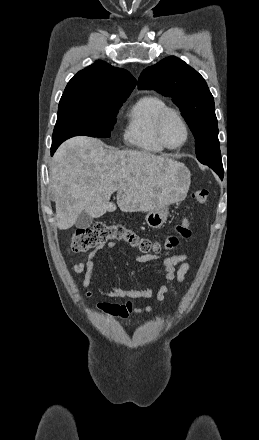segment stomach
Masks as SVG:
<instances>
[{
    "instance_id": "0dacf381",
    "label": "stomach",
    "mask_w": 259,
    "mask_h": 440,
    "mask_svg": "<svg viewBox=\"0 0 259 440\" xmlns=\"http://www.w3.org/2000/svg\"><path fill=\"white\" fill-rule=\"evenodd\" d=\"M184 174L186 175L182 180V186L184 188H187L189 185V177H187L186 172H184ZM168 215L169 209L167 206L156 208L147 212V214L145 215V221L149 227L153 229H159L166 223Z\"/></svg>"
}]
</instances>
